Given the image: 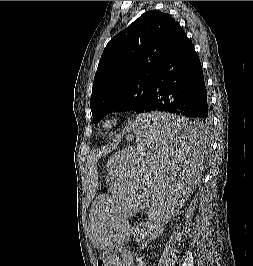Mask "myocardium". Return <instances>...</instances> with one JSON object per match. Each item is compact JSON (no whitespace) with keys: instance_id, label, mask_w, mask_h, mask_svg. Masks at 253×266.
<instances>
[{"instance_id":"1","label":"myocardium","mask_w":253,"mask_h":266,"mask_svg":"<svg viewBox=\"0 0 253 266\" xmlns=\"http://www.w3.org/2000/svg\"><path fill=\"white\" fill-rule=\"evenodd\" d=\"M123 115L121 112H113L102 117L99 123L100 129L105 133H111L122 123Z\"/></svg>"}]
</instances>
